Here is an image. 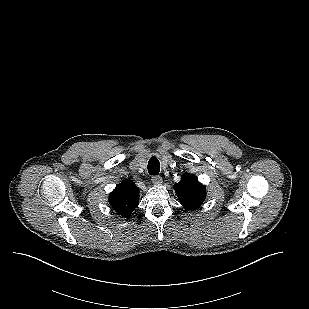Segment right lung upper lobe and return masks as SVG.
I'll use <instances>...</instances> for the list:
<instances>
[{
  "label": "right lung upper lobe",
  "instance_id": "1",
  "mask_svg": "<svg viewBox=\"0 0 309 309\" xmlns=\"http://www.w3.org/2000/svg\"><path fill=\"white\" fill-rule=\"evenodd\" d=\"M109 202L119 215L128 218L139 204V189L126 179L110 193Z\"/></svg>",
  "mask_w": 309,
  "mask_h": 309
}]
</instances>
